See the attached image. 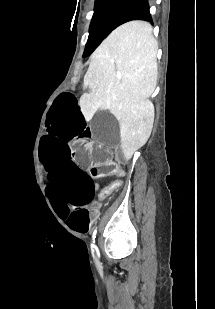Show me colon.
Masks as SVG:
<instances>
[{"label": "colon", "mask_w": 215, "mask_h": 309, "mask_svg": "<svg viewBox=\"0 0 215 309\" xmlns=\"http://www.w3.org/2000/svg\"><path fill=\"white\" fill-rule=\"evenodd\" d=\"M102 156H94L93 159L96 160L94 163L95 170L102 174H109L114 171V168L111 164V161L108 160L105 156L103 159H100ZM121 185V180H114L110 185L105 187L99 193V199L102 200L106 198L112 191L116 190Z\"/></svg>", "instance_id": "obj_1"}]
</instances>
